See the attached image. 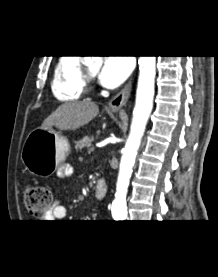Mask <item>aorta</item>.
<instances>
[{"mask_svg":"<svg viewBox=\"0 0 218 277\" xmlns=\"http://www.w3.org/2000/svg\"><path fill=\"white\" fill-rule=\"evenodd\" d=\"M94 60L98 64L102 61L101 56H95ZM138 64L139 77L133 118L130 127V134L123 149L115 199L112 203L111 209L112 216L115 220H123L127 217L126 195L129 179L153 107L156 56H140Z\"/></svg>","mask_w":218,"mask_h":277,"instance_id":"762f6f07","label":"aorta"}]
</instances>
